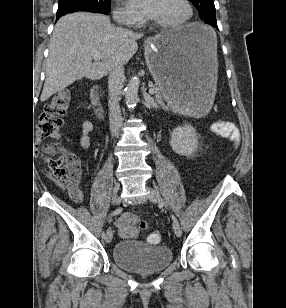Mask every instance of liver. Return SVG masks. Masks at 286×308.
Listing matches in <instances>:
<instances>
[{
	"label": "liver",
	"instance_id": "obj_1",
	"mask_svg": "<svg viewBox=\"0 0 286 308\" xmlns=\"http://www.w3.org/2000/svg\"><path fill=\"white\" fill-rule=\"evenodd\" d=\"M143 34L116 28L102 14L77 12L61 17L51 35L46 60V79L40 96L44 102L76 80H99L115 64L125 65L138 50ZM91 50L101 61H92Z\"/></svg>",
	"mask_w": 286,
	"mask_h": 308
}]
</instances>
